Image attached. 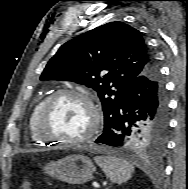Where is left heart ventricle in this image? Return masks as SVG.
<instances>
[{"label":"left heart ventricle","mask_w":188,"mask_h":189,"mask_svg":"<svg viewBox=\"0 0 188 189\" xmlns=\"http://www.w3.org/2000/svg\"><path fill=\"white\" fill-rule=\"evenodd\" d=\"M91 119L86 102L76 97H62L54 102L47 115L45 132L53 137L76 138L89 128Z\"/></svg>","instance_id":"1"}]
</instances>
